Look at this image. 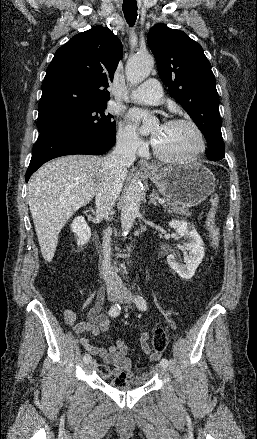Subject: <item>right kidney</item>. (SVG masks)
Listing matches in <instances>:
<instances>
[{
  "label": "right kidney",
  "instance_id": "ca27d5eb",
  "mask_svg": "<svg viewBox=\"0 0 257 439\" xmlns=\"http://www.w3.org/2000/svg\"><path fill=\"white\" fill-rule=\"evenodd\" d=\"M71 230L78 237L77 239L78 246L85 245L91 237V229L87 225L84 217L82 216H78L73 220L71 224Z\"/></svg>",
  "mask_w": 257,
  "mask_h": 439
}]
</instances>
